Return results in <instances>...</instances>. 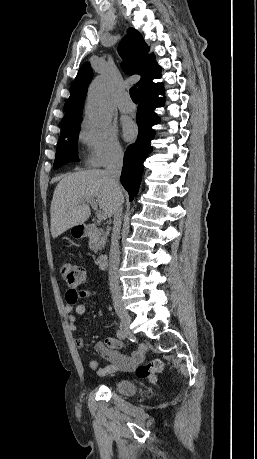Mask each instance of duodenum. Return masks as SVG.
Wrapping results in <instances>:
<instances>
[{
	"instance_id": "obj_1",
	"label": "duodenum",
	"mask_w": 257,
	"mask_h": 459,
	"mask_svg": "<svg viewBox=\"0 0 257 459\" xmlns=\"http://www.w3.org/2000/svg\"><path fill=\"white\" fill-rule=\"evenodd\" d=\"M99 233V228L95 224L87 223L83 226L77 227L78 237H91ZM108 257L103 254L97 258V264L100 268H104L107 264Z\"/></svg>"
}]
</instances>
